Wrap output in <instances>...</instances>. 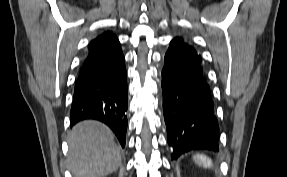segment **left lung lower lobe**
Listing matches in <instances>:
<instances>
[{
    "instance_id": "1",
    "label": "left lung lower lobe",
    "mask_w": 287,
    "mask_h": 177,
    "mask_svg": "<svg viewBox=\"0 0 287 177\" xmlns=\"http://www.w3.org/2000/svg\"><path fill=\"white\" fill-rule=\"evenodd\" d=\"M163 112L172 159L198 149L218 151V123L202 59L172 40L162 70Z\"/></svg>"
}]
</instances>
